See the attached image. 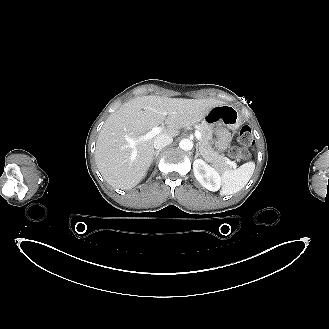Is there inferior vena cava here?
<instances>
[{
    "label": "inferior vena cava",
    "mask_w": 329,
    "mask_h": 329,
    "mask_svg": "<svg viewBox=\"0 0 329 329\" xmlns=\"http://www.w3.org/2000/svg\"><path fill=\"white\" fill-rule=\"evenodd\" d=\"M172 142L173 138L170 135L161 134L154 139V148L160 150L165 146L170 145Z\"/></svg>",
    "instance_id": "1"
}]
</instances>
